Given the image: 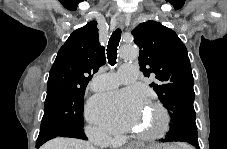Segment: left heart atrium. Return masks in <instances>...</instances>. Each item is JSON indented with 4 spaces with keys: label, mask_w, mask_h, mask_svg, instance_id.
I'll use <instances>...</instances> for the list:
<instances>
[{
    "label": "left heart atrium",
    "mask_w": 227,
    "mask_h": 149,
    "mask_svg": "<svg viewBox=\"0 0 227 149\" xmlns=\"http://www.w3.org/2000/svg\"><path fill=\"white\" fill-rule=\"evenodd\" d=\"M144 106L143 96L135 90L98 94L87 106V117L112 133L131 130Z\"/></svg>",
    "instance_id": "39dd6f15"
}]
</instances>
